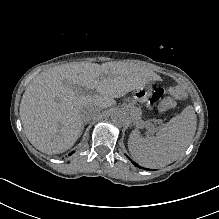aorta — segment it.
I'll return each instance as SVG.
<instances>
[{
  "mask_svg": "<svg viewBox=\"0 0 219 219\" xmlns=\"http://www.w3.org/2000/svg\"><path fill=\"white\" fill-rule=\"evenodd\" d=\"M111 119L113 123L119 127L127 126L129 124V117L127 113L119 108H115L112 110Z\"/></svg>",
  "mask_w": 219,
  "mask_h": 219,
  "instance_id": "1",
  "label": "aorta"
}]
</instances>
